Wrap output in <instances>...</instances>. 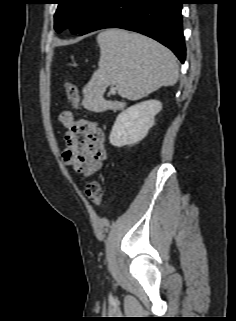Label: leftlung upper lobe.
Returning a JSON list of instances; mask_svg holds the SVG:
<instances>
[{
  "label": "left lung upper lobe",
  "instance_id": "obj_1",
  "mask_svg": "<svg viewBox=\"0 0 236 321\" xmlns=\"http://www.w3.org/2000/svg\"><path fill=\"white\" fill-rule=\"evenodd\" d=\"M106 0H58L55 13V30L69 26L73 33H80Z\"/></svg>",
  "mask_w": 236,
  "mask_h": 321
}]
</instances>
